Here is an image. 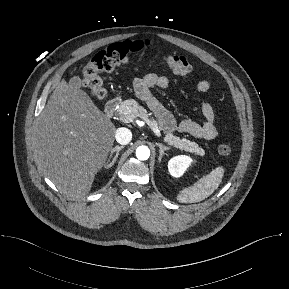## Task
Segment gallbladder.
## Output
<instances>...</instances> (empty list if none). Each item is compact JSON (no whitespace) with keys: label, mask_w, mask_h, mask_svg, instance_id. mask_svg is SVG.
Masks as SVG:
<instances>
[{"label":"gallbladder","mask_w":289,"mask_h":289,"mask_svg":"<svg viewBox=\"0 0 289 289\" xmlns=\"http://www.w3.org/2000/svg\"><path fill=\"white\" fill-rule=\"evenodd\" d=\"M69 84L75 88H80L81 86V79L78 76H74L70 79Z\"/></svg>","instance_id":"obj_1"}]
</instances>
